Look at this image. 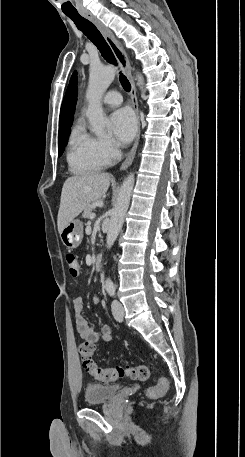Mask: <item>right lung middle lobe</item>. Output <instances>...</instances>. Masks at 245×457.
<instances>
[{
  "instance_id": "obj_1",
  "label": "right lung middle lobe",
  "mask_w": 245,
  "mask_h": 457,
  "mask_svg": "<svg viewBox=\"0 0 245 457\" xmlns=\"http://www.w3.org/2000/svg\"><path fill=\"white\" fill-rule=\"evenodd\" d=\"M70 127H71V125H67V126L59 128V134H58L59 156L62 154V152L67 144V139L70 134Z\"/></svg>"
}]
</instances>
